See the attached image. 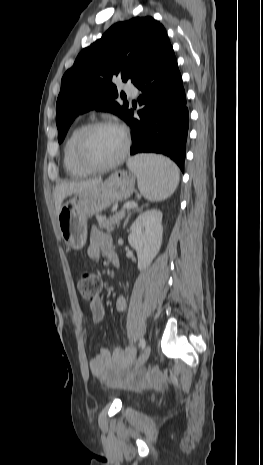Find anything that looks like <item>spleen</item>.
<instances>
[{
	"instance_id": "3e777b00",
	"label": "spleen",
	"mask_w": 263,
	"mask_h": 465,
	"mask_svg": "<svg viewBox=\"0 0 263 465\" xmlns=\"http://www.w3.org/2000/svg\"><path fill=\"white\" fill-rule=\"evenodd\" d=\"M127 166L137 177L140 193L149 201L167 199L178 186V167L162 155H136L127 161Z\"/></svg>"
}]
</instances>
